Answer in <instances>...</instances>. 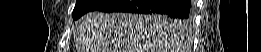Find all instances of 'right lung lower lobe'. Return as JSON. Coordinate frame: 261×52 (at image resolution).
Here are the masks:
<instances>
[{"mask_svg":"<svg viewBox=\"0 0 261 52\" xmlns=\"http://www.w3.org/2000/svg\"><path fill=\"white\" fill-rule=\"evenodd\" d=\"M191 9L190 0H105L102 5L94 10L143 14L157 13L173 18L189 19Z\"/></svg>","mask_w":261,"mask_h":52,"instance_id":"right-lung-lower-lobe-1","label":"right lung lower lobe"}]
</instances>
